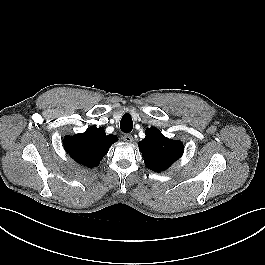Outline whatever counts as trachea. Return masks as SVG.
Instances as JSON below:
<instances>
[{
	"label": "trachea",
	"instance_id": "obj_1",
	"mask_svg": "<svg viewBox=\"0 0 265 265\" xmlns=\"http://www.w3.org/2000/svg\"><path fill=\"white\" fill-rule=\"evenodd\" d=\"M133 121L130 114L123 115L120 121V129L124 133H129L132 131Z\"/></svg>",
	"mask_w": 265,
	"mask_h": 265
}]
</instances>
